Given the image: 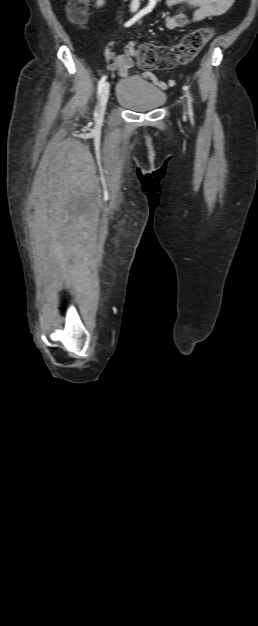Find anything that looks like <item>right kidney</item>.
Returning a JSON list of instances; mask_svg holds the SVG:
<instances>
[{
  "instance_id": "obj_1",
  "label": "right kidney",
  "mask_w": 258,
  "mask_h": 626,
  "mask_svg": "<svg viewBox=\"0 0 258 626\" xmlns=\"http://www.w3.org/2000/svg\"><path fill=\"white\" fill-rule=\"evenodd\" d=\"M103 4V0H98V5H102Z\"/></svg>"
}]
</instances>
